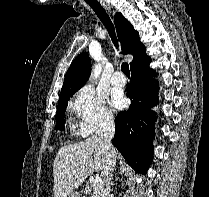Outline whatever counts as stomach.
Masks as SVG:
<instances>
[{"mask_svg": "<svg viewBox=\"0 0 209 197\" xmlns=\"http://www.w3.org/2000/svg\"><path fill=\"white\" fill-rule=\"evenodd\" d=\"M67 197H81L79 193L77 192H72L71 194H69Z\"/></svg>", "mask_w": 209, "mask_h": 197, "instance_id": "stomach-1", "label": "stomach"}]
</instances>
